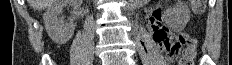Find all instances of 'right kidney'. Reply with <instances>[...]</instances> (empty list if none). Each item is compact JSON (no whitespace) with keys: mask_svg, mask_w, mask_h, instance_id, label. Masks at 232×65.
<instances>
[{"mask_svg":"<svg viewBox=\"0 0 232 65\" xmlns=\"http://www.w3.org/2000/svg\"><path fill=\"white\" fill-rule=\"evenodd\" d=\"M68 4L76 6L75 0H55L43 14L44 26L49 37L57 44H65L73 36L75 25L65 22L61 16Z\"/></svg>","mask_w":232,"mask_h":65,"instance_id":"ca27d5eb","label":"right kidney"}]
</instances>
